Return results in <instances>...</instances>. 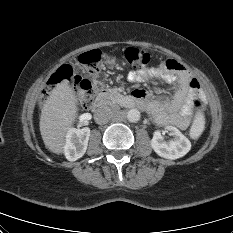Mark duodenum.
Returning <instances> with one entry per match:
<instances>
[{"label":"duodenum","instance_id":"obj_1","mask_svg":"<svg viewBox=\"0 0 233 233\" xmlns=\"http://www.w3.org/2000/svg\"><path fill=\"white\" fill-rule=\"evenodd\" d=\"M111 101L118 102L125 107H134L137 104V100L135 99V97L123 96L111 90H103L97 96L94 105L96 108H101Z\"/></svg>","mask_w":233,"mask_h":233}]
</instances>
